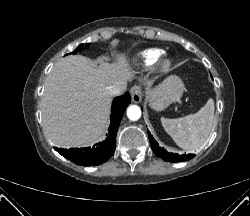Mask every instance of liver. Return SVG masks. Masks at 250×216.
I'll use <instances>...</instances> for the list:
<instances>
[{"label": "liver", "mask_w": 250, "mask_h": 216, "mask_svg": "<svg viewBox=\"0 0 250 216\" xmlns=\"http://www.w3.org/2000/svg\"><path fill=\"white\" fill-rule=\"evenodd\" d=\"M133 78L124 56L114 64L71 55L60 59L45 83L41 101L46 136L62 148L87 146L103 133L109 118L111 85L123 86Z\"/></svg>", "instance_id": "1"}]
</instances>
